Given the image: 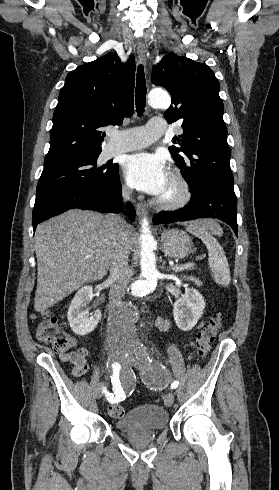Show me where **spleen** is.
I'll return each instance as SVG.
<instances>
[{
    "instance_id": "obj_1",
    "label": "spleen",
    "mask_w": 279,
    "mask_h": 490,
    "mask_svg": "<svg viewBox=\"0 0 279 490\" xmlns=\"http://www.w3.org/2000/svg\"><path fill=\"white\" fill-rule=\"evenodd\" d=\"M188 230L205 244L208 250L209 268H211L216 284L227 288L231 280L229 264L223 248L213 238V234L222 236V228L214 220H197V222H191ZM208 230H210L211 234Z\"/></svg>"
}]
</instances>
